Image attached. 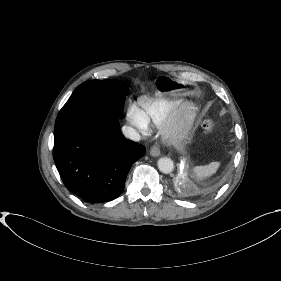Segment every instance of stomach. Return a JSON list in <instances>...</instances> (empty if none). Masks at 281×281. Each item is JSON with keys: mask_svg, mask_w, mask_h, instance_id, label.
<instances>
[{"mask_svg": "<svg viewBox=\"0 0 281 281\" xmlns=\"http://www.w3.org/2000/svg\"><path fill=\"white\" fill-rule=\"evenodd\" d=\"M154 86L156 91L162 95H181L186 92V84L175 78L159 76L156 78Z\"/></svg>", "mask_w": 281, "mask_h": 281, "instance_id": "0dacf381", "label": "stomach"}]
</instances>
